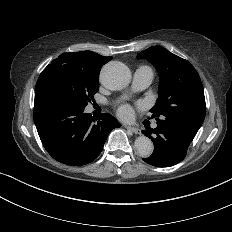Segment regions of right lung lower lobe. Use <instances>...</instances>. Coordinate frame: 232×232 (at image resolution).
I'll list each match as a JSON object with an SVG mask.
<instances>
[{
    "instance_id": "right-lung-lower-lobe-1",
    "label": "right lung lower lobe",
    "mask_w": 232,
    "mask_h": 232,
    "mask_svg": "<svg viewBox=\"0 0 232 232\" xmlns=\"http://www.w3.org/2000/svg\"><path fill=\"white\" fill-rule=\"evenodd\" d=\"M84 109L51 90H35L34 123L47 152L61 163H90L101 153L109 132L121 126L108 113L95 120Z\"/></svg>"
}]
</instances>
